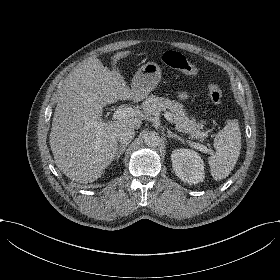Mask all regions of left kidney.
Returning <instances> with one entry per match:
<instances>
[{"mask_svg":"<svg viewBox=\"0 0 280 280\" xmlns=\"http://www.w3.org/2000/svg\"><path fill=\"white\" fill-rule=\"evenodd\" d=\"M172 168L183 182L197 184L204 180V163L199 154L190 149H177L171 154Z\"/></svg>","mask_w":280,"mask_h":280,"instance_id":"1","label":"left kidney"}]
</instances>
